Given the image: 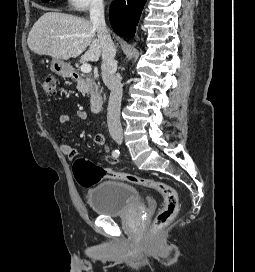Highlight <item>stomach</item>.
<instances>
[{
	"label": "stomach",
	"instance_id": "1",
	"mask_svg": "<svg viewBox=\"0 0 255 272\" xmlns=\"http://www.w3.org/2000/svg\"><path fill=\"white\" fill-rule=\"evenodd\" d=\"M51 71L60 75L62 77H71L72 75V68L71 66L60 59H53L51 62Z\"/></svg>",
	"mask_w": 255,
	"mask_h": 272
}]
</instances>
